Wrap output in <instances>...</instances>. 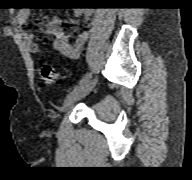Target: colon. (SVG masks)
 Returning <instances> with one entry per match:
<instances>
[{
    "label": "colon",
    "mask_w": 192,
    "mask_h": 180,
    "mask_svg": "<svg viewBox=\"0 0 192 180\" xmlns=\"http://www.w3.org/2000/svg\"><path fill=\"white\" fill-rule=\"evenodd\" d=\"M41 74H42L44 82L48 85L55 84L58 80L57 72L55 71V69L52 66H50L48 64H45L42 66Z\"/></svg>",
    "instance_id": "1"
}]
</instances>
